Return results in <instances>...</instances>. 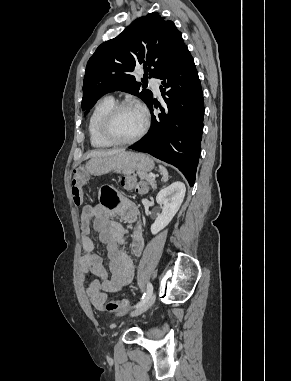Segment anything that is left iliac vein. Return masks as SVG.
I'll return each instance as SVG.
<instances>
[{
	"label": "left iliac vein",
	"instance_id": "1",
	"mask_svg": "<svg viewBox=\"0 0 291 381\" xmlns=\"http://www.w3.org/2000/svg\"><path fill=\"white\" fill-rule=\"evenodd\" d=\"M155 298H156V295L153 293L146 301H144L138 308H136L131 313V316L132 317L138 316V315L144 313L145 311H147L152 306V304L154 303Z\"/></svg>",
	"mask_w": 291,
	"mask_h": 381
}]
</instances>
